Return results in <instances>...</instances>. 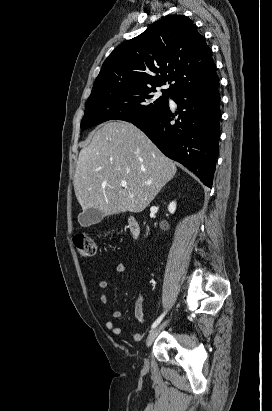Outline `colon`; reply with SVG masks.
<instances>
[{"mask_svg":"<svg viewBox=\"0 0 272 411\" xmlns=\"http://www.w3.org/2000/svg\"><path fill=\"white\" fill-rule=\"evenodd\" d=\"M73 242L80 256L92 257L96 254L97 246L91 236L76 235L73 238Z\"/></svg>","mask_w":272,"mask_h":411,"instance_id":"obj_1","label":"colon"}]
</instances>
